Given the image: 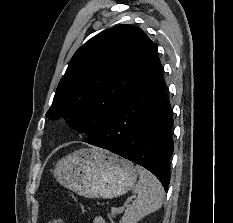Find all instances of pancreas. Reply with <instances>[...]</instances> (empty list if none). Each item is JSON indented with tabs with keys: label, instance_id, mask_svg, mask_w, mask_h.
Returning <instances> with one entry per match:
<instances>
[{
	"label": "pancreas",
	"instance_id": "obj_1",
	"mask_svg": "<svg viewBox=\"0 0 233 223\" xmlns=\"http://www.w3.org/2000/svg\"><path fill=\"white\" fill-rule=\"evenodd\" d=\"M112 213H118V207H111Z\"/></svg>",
	"mask_w": 233,
	"mask_h": 223
}]
</instances>
